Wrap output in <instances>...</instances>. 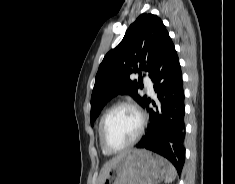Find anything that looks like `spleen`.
<instances>
[{"label": "spleen", "mask_w": 235, "mask_h": 184, "mask_svg": "<svg viewBox=\"0 0 235 184\" xmlns=\"http://www.w3.org/2000/svg\"><path fill=\"white\" fill-rule=\"evenodd\" d=\"M176 176H177V172H176L174 166H172V164H170V162H168L167 174L164 178L165 184H171V182H174Z\"/></svg>", "instance_id": "1"}]
</instances>
